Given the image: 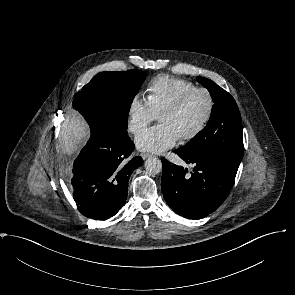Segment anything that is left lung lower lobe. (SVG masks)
<instances>
[{
  "instance_id": "obj_1",
  "label": "left lung lower lobe",
  "mask_w": 295,
  "mask_h": 295,
  "mask_svg": "<svg viewBox=\"0 0 295 295\" xmlns=\"http://www.w3.org/2000/svg\"><path fill=\"white\" fill-rule=\"evenodd\" d=\"M186 163L194 164L191 175L182 166L162 158V192L166 203L180 216L201 219L214 212L227 198L239 165L217 155L187 156L174 151Z\"/></svg>"
}]
</instances>
